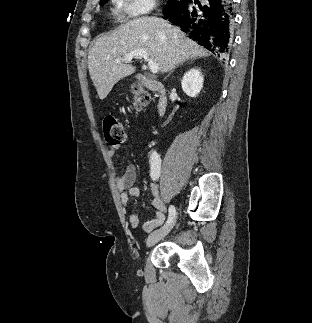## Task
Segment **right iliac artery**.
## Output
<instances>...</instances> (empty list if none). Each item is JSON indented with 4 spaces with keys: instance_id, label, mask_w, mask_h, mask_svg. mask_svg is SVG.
Instances as JSON below:
<instances>
[{
    "instance_id": "1",
    "label": "right iliac artery",
    "mask_w": 312,
    "mask_h": 323,
    "mask_svg": "<svg viewBox=\"0 0 312 323\" xmlns=\"http://www.w3.org/2000/svg\"><path fill=\"white\" fill-rule=\"evenodd\" d=\"M150 162H151L150 176L153 180H156L159 177V172H160V157L157 152L151 153ZM175 214H176L175 207L173 205H170L169 217L166 224H169L173 221Z\"/></svg>"
}]
</instances>
